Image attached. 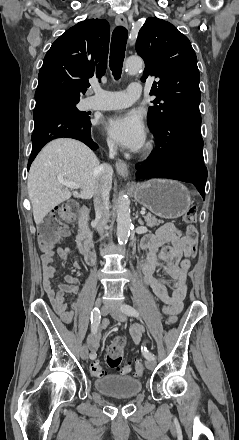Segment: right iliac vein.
I'll return each mask as SVG.
<instances>
[{
  "mask_svg": "<svg viewBox=\"0 0 239 440\" xmlns=\"http://www.w3.org/2000/svg\"><path fill=\"white\" fill-rule=\"evenodd\" d=\"M98 303H99V301H98ZM108 311H109V307L107 305H103L101 308V314L103 316H105V315H107ZM80 356L83 360H86L88 358V349H87L86 345H83L81 347Z\"/></svg>",
  "mask_w": 239,
  "mask_h": 440,
  "instance_id": "1",
  "label": "right iliac vein"
}]
</instances>
